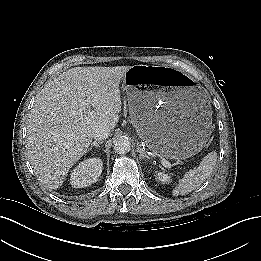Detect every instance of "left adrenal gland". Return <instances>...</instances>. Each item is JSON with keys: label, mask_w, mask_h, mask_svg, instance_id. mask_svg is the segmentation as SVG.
<instances>
[{"label": "left adrenal gland", "mask_w": 261, "mask_h": 261, "mask_svg": "<svg viewBox=\"0 0 261 261\" xmlns=\"http://www.w3.org/2000/svg\"><path fill=\"white\" fill-rule=\"evenodd\" d=\"M137 152L139 153V159H150V157L144 152V150L138 145Z\"/></svg>", "instance_id": "left-adrenal-gland-1"}]
</instances>
